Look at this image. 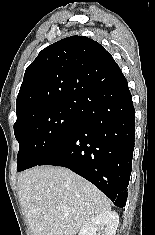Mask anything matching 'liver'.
I'll list each match as a JSON object with an SVG mask.
<instances>
[{"instance_id": "obj_1", "label": "liver", "mask_w": 155, "mask_h": 235, "mask_svg": "<svg viewBox=\"0 0 155 235\" xmlns=\"http://www.w3.org/2000/svg\"><path fill=\"white\" fill-rule=\"evenodd\" d=\"M19 198L32 235H76L110 202L93 184L64 167H35L18 176Z\"/></svg>"}]
</instances>
